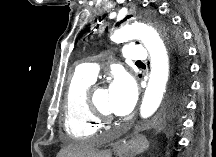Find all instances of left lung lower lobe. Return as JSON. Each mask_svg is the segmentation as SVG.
<instances>
[{
  "instance_id": "1",
  "label": "left lung lower lobe",
  "mask_w": 216,
  "mask_h": 157,
  "mask_svg": "<svg viewBox=\"0 0 216 157\" xmlns=\"http://www.w3.org/2000/svg\"><path fill=\"white\" fill-rule=\"evenodd\" d=\"M188 89H189V82L187 76L185 81L181 82L178 76L174 72L170 84V94H169L168 104L166 108V116L171 117L172 115L175 114L178 108L182 107L183 97Z\"/></svg>"
}]
</instances>
